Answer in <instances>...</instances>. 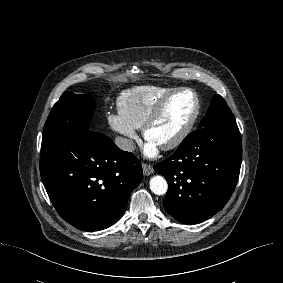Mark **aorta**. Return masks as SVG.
<instances>
[{
    "label": "aorta",
    "mask_w": 283,
    "mask_h": 283,
    "mask_svg": "<svg viewBox=\"0 0 283 283\" xmlns=\"http://www.w3.org/2000/svg\"><path fill=\"white\" fill-rule=\"evenodd\" d=\"M150 189L156 195L165 194L168 189L166 179L160 175L153 176L150 180Z\"/></svg>",
    "instance_id": "762f6f07"
}]
</instances>
